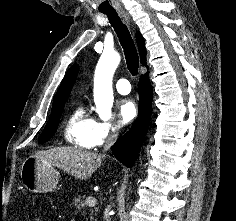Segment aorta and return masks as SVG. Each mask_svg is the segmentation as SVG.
Listing matches in <instances>:
<instances>
[{
  "instance_id": "1",
  "label": "aorta",
  "mask_w": 236,
  "mask_h": 221,
  "mask_svg": "<svg viewBox=\"0 0 236 221\" xmlns=\"http://www.w3.org/2000/svg\"><path fill=\"white\" fill-rule=\"evenodd\" d=\"M120 63L116 52L103 53L99 63V75L94 86V101L100 117L108 119L113 105L112 77Z\"/></svg>"
}]
</instances>
